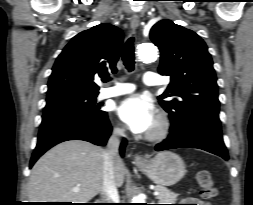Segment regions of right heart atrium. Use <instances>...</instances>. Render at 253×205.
I'll list each match as a JSON object with an SVG mask.
<instances>
[{"mask_svg":"<svg viewBox=\"0 0 253 205\" xmlns=\"http://www.w3.org/2000/svg\"><path fill=\"white\" fill-rule=\"evenodd\" d=\"M114 133L116 135H122L124 133V129L120 126H115L114 127Z\"/></svg>","mask_w":253,"mask_h":205,"instance_id":"right-heart-atrium-1","label":"right heart atrium"}]
</instances>
